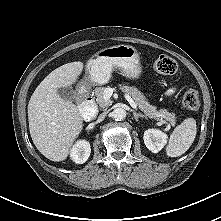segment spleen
<instances>
[{
	"label": "spleen",
	"mask_w": 221,
	"mask_h": 221,
	"mask_svg": "<svg viewBox=\"0 0 221 221\" xmlns=\"http://www.w3.org/2000/svg\"><path fill=\"white\" fill-rule=\"evenodd\" d=\"M196 133L197 125L195 119H185L171 133L166 146V154L169 157H178L184 154L194 142Z\"/></svg>",
	"instance_id": "spleen-1"
}]
</instances>
